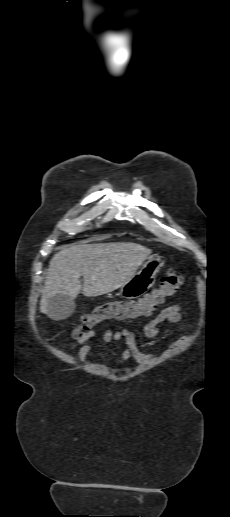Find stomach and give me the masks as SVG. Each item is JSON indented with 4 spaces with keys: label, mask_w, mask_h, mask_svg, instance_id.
Segmentation results:
<instances>
[{
    "label": "stomach",
    "mask_w": 230,
    "mask_h": 517,
    "mask_svg": "<svg viewBox=\"0 0 230 517\" xmlns=\"http://www.w3.org/2000/svg\"><path fill=\"white\" fill-rule=\"evenodd\" d=\"M163 257L151 256L133 277L121 287V295L126 299H134L146 293L155 282L160 268L164 265Z\"/></svg>",
    "instance_id": "obj_1"
}]
</instances>
